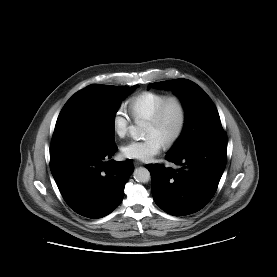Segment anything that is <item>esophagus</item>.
Returning a JSON list of instances; mask_svg holds the SVG:
<instances>
[{"instance_id":"1","label":"esophagus","mask_w":277,"mask_h":277,"mask_svg":"<svg viewBox=\"0 0 277 277\" xmlns=\"http://www.w3.org/2000/svg\"><path fill=\"white\" fill-rule=\"evenodd\" d=\"M142 164H143V163L140 162V161H135V162H134V165H135V166H140V165H142Z\"/></svg>"}]
</instances>
